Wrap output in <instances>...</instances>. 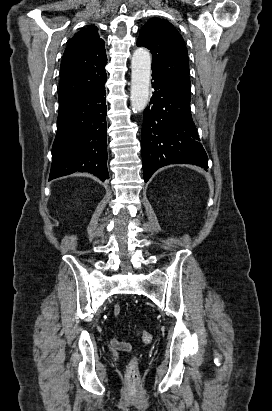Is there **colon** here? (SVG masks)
<instances>
[{"mask_svg": "<svg viewBox=\"0 0 272 411\" xmlns=\"http://www.w3.org/2000/svg\"><path fill=\"white\" fill-rule=\"evenodd\" d=\"M140 335L143 342L149 343L152 341L153 336L149 331H141ZM126 378L129 387L135 388L139 385L140 376L138 359L136 357L132 358L127 365Z\"/></svg>", "mask_w": 272, "mask_h": 411, "instance_id": "colon-1", "label": "colon"}]
</instances>
